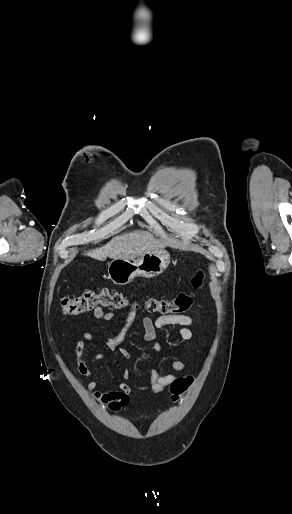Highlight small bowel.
I'll return each instance as SVG.
<instances>
[{
    "mask_svg": "<svg viewBox=\"0 0 292 514\" xmlns=\"http://www.w3.org/2000/svg\"><path fill=\"white\" fill-rule=\"evenodd\" d=\"M94 317L101 321H110L114 314L111 311H106L101 307H96L93 311ZM136 320V312L131 311L126 317V325L134 322ZM193 323V320L190 316L187 315H172V316H159L155 320L150 317H143L141 320L142 328H143V339L148 342H154L153 348L156 352L161 351V345L156 342V332L157 330L170 326V325H179L182 326L178 329V336L187 342H191L194 339L193 331L188 328ZM124 337V330H122L118 335L110 337L106 340V347L109 350H118L120 356L124 359L129 358V352L124 348H119ZM93 338V334L89 331L83 332L81 334V339L77 342L75 346V357L78 372L87 378H91L94 375V372L91 368V364L96 363L97 361L103 358L102 354H97L87 361L85 358V347L86 343ZM187 368V362L185 360H173L171 362V369L176 372L184 371ZM123 376L125 380H129L130 373L128 370L123 372ZM176 379H178L177 375L174 373L162 375L156 369H152L149 372V379L144 383L130 382V383H120L117 390L100 392L97 391L98 382L96 380H91L87 384V388L92 392L93 397L103 404H108L106 409L109 412H120L122 407L126 406L129 401V393L132 389H135L140 392H145L152 390L154 392L163 391L167 385H171Z\"/></svg>",
    "mask_w": 292,
    "mask_h": 514,
    "instance_id": "c3829d8e",
    "label": "small bowel"
}]
</instances>
